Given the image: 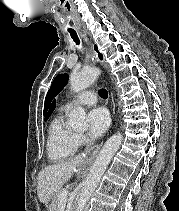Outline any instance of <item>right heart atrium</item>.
<instances>
[{
  "instance_id": "d8ad5b80",
  "label": "right heart atrium",
  "mask_w": 179,
  "mask_h": 211,
  "mask_svg": "<svg viewBox=\"0 0 179 211\" xmlns=\"http://www.w3.org/2000/svg\"><path fill=\"white\" fill-rule=\"evenodd\" d=\"M76 140L78 144H82L85 142V136L82 134H76Z\"/></svg>"
}]
</instances>
